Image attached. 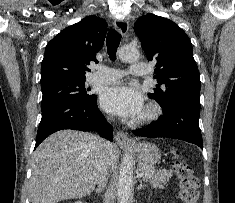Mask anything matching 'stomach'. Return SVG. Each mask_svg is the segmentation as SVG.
<instances>
[{"instance_id": "stomach-1", "label": "stomach", "mask_w": 235, "mask_h": 203, "mask_svg": "<svg viewBox=\"0 0 235 203\" xmlns=\"http://www.w3.org/2000/svg\"><path fill=\"white\" fill-rule=\"evenodd\" d=\"M133 150L140 164L154 165L161 157L157 146L150 142L136 144Z\"/></svg>"}]
</instances>
